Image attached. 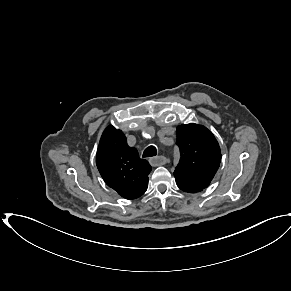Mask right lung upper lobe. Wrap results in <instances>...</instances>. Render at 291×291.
Wrapping results in <instances>:
<instances>
[{"mask_svg": "<svg viewBox=\"0 0 291 291\" xmlns=\"http://www.w3.org/2000/svg\"><path fill=\"white\" fill-rule=\"evenodd\" d=\"M96 165L105 183L125 199L138 198L147 190L150 164L139 158L123 132L111 125L101 136Z\"/></svg>", "mask_w": 291, "mask_h": 291, "instance_id": "1", "label": "right lung upper lobe"}]
</instances>
